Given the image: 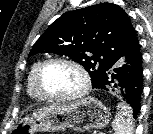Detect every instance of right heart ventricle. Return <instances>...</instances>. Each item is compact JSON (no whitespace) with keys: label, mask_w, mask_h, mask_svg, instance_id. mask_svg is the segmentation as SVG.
Returning <instances> with one entry per match:
<instances>
[{"label":"right heart ventricle","mask_w":153,"mask_h":134,"mask_svg":"<svg viewBox=\"0 0 153 134\" xmlns=\"http://www.w3.org/2000/svg\"><path fill=\"white\" fill-rule=\"evenodd\" d=\"M41 63H42L41 61L35 62L32 65V67L29 71L28 77H27V92L31 98L38 100V101L43 100V98L39 95V93L36 89L35 75H36V72H37L39 66L41 65Z\"/></svg>","instance_id":"e07e8e85"}]
</instances>
